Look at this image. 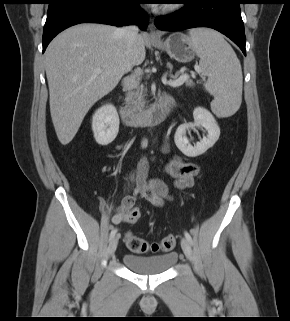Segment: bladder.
Wrapping results in <instances>:
<instances>
[{
    "label": "bladder",
    "mask_w": 290,
    "mask_h": 321,
    "mask_svg": "<svg viewBox=\"0 0 290 321\" xmlns=\"http://www.w3.org/2000/svg\"><path fill=\"white\" fill-rule=\"evenodd\" d=\"M178 255L174 251L152 256L126 254L123 256L124 265L139 275L153 276L168 271L177 262Z\"/></svg>",
    "instance_id": "obj_1"
}]
</instances>
